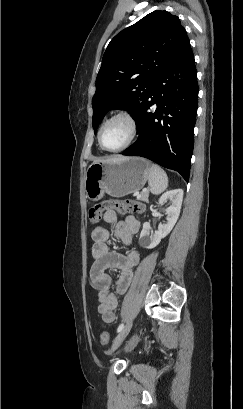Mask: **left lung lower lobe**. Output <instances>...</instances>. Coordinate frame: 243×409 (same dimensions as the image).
<instances>
[{"label":"left lung lower lobe","mask_w":243,"mask_h":409,"mask_svg":"<svg viewBox=\"0 0 243 409\" xmlns=\"http://www.w3.org/2000/svg\"><path fill=\"white\" fill-rule=\"evenodd\" d=\"M197 101V72L187 39L154 81L135 120L139 137L122 155L148 158L188 182Z\"/></svg>","instance_id":"obj_1"}]
</instances>
